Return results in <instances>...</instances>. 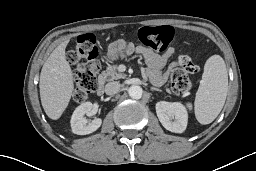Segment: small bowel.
<instances>
[{"instance_id":"c3829d8e","label":"small bowel","mask_w":256,"mask_h":171,"mask_svg":"<svg viewBox=\"0 0 256 171\" xmlns=\"http://www.w3.org/2000/svg\"><path fill=\"white\" fill-rule=\"evenodd\" d=\"M132 53H138L143 56L149 66V72L154 85L161 86L166 82L167 73L163 72L162 68L165 66L167 60L173 55V49H169L166 53L159 55L149 49L127 44L121 52V55L129 56ZM112 56L114 55L112 54Z\"/></svg>"}]
</instances>
